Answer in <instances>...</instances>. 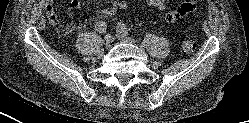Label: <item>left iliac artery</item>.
<instances>
[{"mask_svg": "<svg viewBox=\"0 0 249 123\" xmlns=\"http://www.w3.org/2000/svg\"><path fill=\"white\" fill-rule=\"evenodd\" d=\"M117 31L124 33V34H129V30L127 28V26L124 23H119L117 25Z\"/></svg>", "mask_w": 249, "mask_h": 123, "instance_id": "obj_1", "label": "left iliac artery"}]
</instances>
